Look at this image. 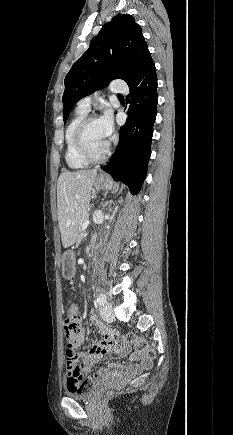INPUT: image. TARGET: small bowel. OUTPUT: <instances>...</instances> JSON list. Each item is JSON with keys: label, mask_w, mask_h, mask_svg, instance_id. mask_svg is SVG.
I'll use <instances>...</instances> for the list:
<instances>
[{"label": "small bowel", "mask_w": 233, "mask_h": 435, "mask_svg": "<svg viewBox=\"0 0 233 435\" xmlns=\"http://www.w3.org/2000/svg\"><path fill=\"white\" fill-rule=\"evenodd\" d=\"M70 306L73 307L78 312V308L76 305H70ZM89 320L93 325L97 327L98 333L101 335L103 339L101 343L89 344L87 347V352L79 353L77 355V359L82 361V367L80 370H75L70 366L66 367L65 376H66L67 386L72 384L75 378L81 375V373L89 372L92 366L97 361H99L105 354L109 352H114L119 357L129 356L130 360L134 363L133 366H131L128 369H125V371L128 372L129 374L137 373L141 369L148 366L147 362H145L137 353L131 352L130 349L125 345H115L113 350L111 351L106 350L104 347V341L107 337V328L103 323L99 321L94 311L90 312ZM85 340H86V332L83 328H80L76 341L78 344H83ZM121 369L122 366L120 363H118L117 361H110L106 367H103L99 369L96 373H94L93 376L90 378V380H97L107 375L108 373L118 372Z\"/></svg>", "instance_id": "small-bowel-1"}]
</instances>
